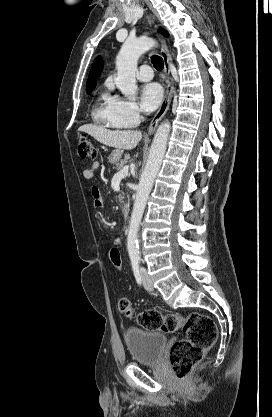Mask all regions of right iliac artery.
I'll return each mask as SVG.
<instances>
[{
    "label": "right iliac artery",
    "instance_id": "right-iliac-artery-1",
    "mask_svg": "<svg viewBox=\"0 0 272 417\" xmlns=\"http://www.w3.org/2000/svg\"><path fill=\"white\" fill-rule=\"evenodd\" d=\"M132 269H133V272H134L136 282L138 283V285H141L142 284V276H141L140 271H139L138 263H133L132 264Z\"/></svg>",
    "mask_w": 272,
    "mask_h": 417
}]
</instances>
